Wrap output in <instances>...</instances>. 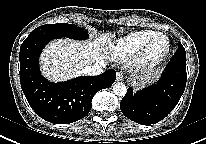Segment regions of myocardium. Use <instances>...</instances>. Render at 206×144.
<instances>
[{"label": "myocardium", "mask_w": 206, "mask_h": 144, "mask_svg": "<svg viewBox=\"0 0 206 144\" xmlns=\"http://www.w3.org/2000/svg\"><path fill=\"white\" fill-rule=\"evenodd\" d=\"M161 38L166 40L167 43L166 48L159 55L152 56L151 55L152 46L158 39ZM170 51H171V41L169 37L163 33H157L152 38H150L143 45V47L135 54L133 60L134 67L141 72L151 71L157 68L166 60V58L170 54Z\"/></svg>", "instance_id": "obj_1"}]
</instances>
